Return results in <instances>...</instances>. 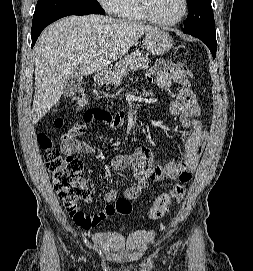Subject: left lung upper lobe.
I'll list each match as a JSON object with an SVG mask.
<instances>
[{
	"label": "left lung upper lobe",
	"instance_id": "1",
	"mask_svg": "<svg viewBox=\"0 0 253 271\" xmlns=\"http://www.w3.org/2000/svg\"><path fill=\"white\" fill-rule=\"evenodd\" d=\"M189 14L184 24L185 33H216L211 0H187Z\"/></svg>",
	"mask_w": 253,
	"mask_h": 271
}]
</instances>
